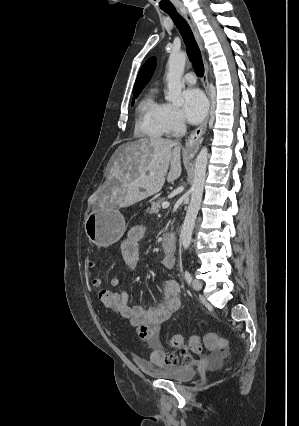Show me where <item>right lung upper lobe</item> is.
Here are the masks:
<instances>
[{
  "label": "right lung upper lobe",
  "mask_w": 299,
  "mask_h": 426,
  "mask_svg": "<svg viewBox=\"0 0 299 426\" xmlns=\"http://www.w3.org/2000/svg\"><path fill=\"white\" fill-rule=\"evenodd\" d=\"M156 66L154 57L148 59L139 71L133 92L141 91L150 80Z\"/></svg>",
  "instance_id": "obj_1"
}]
</instances>
